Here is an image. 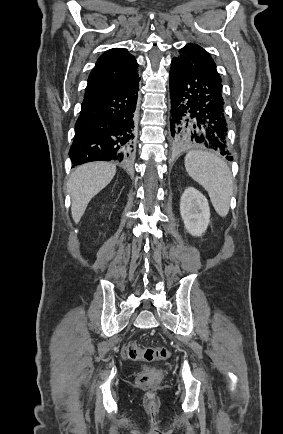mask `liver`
I'll list each match as a JSON object with an SVG mask.
<instances>
[{
	"instance_id": "obj_1",
	"label": "liver",
	"mask_w": 283,
	"mask_h": 434,
	"mask_svg": "<svg viewBox=\"0 0 283 434\" xmlns=\"http://www.w3.org/2000/svg\"><path fill=\"white\" fill-rule=\"evenodd\" d=\"M116 166L94 162L78 167L71 175L67 190L71 195V214L75 223L83 216L90 200L113 179Z\"/></svg>"
}]
</instances>
